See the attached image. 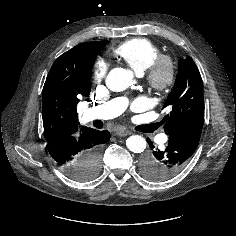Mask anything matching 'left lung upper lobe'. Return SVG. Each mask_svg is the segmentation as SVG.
I'll use <instances>...</instances> for the list:
<instances>
[{"label": "left lung upper lobe", "instance_id": "obj_1", "mask_svg": "<svg viewBox=\"0 0 236 236\" xmlns=\"http://www.w3.org/2000/svg\"><path fill=\"white\" fill-rule=\"evenodd\" d=\"M164 108L170 111L161 121L166 134L185 125L204 122L203 83L191 57L179 60L175 84Z\"/></svg>", "mask_w": 236, "mask_h": 236}]
</instances>
